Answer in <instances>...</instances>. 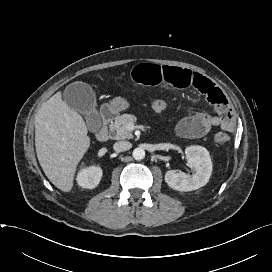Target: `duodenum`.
I'll return each instance as SVG.
<instances>
[{"instance_id": "duodenum-1", "label": "duodenum", "mask_w": 272, "mask_h": 272, "mask_svg": "<svg viewBox=\"0 0 272 272\" xmlns=\"http://www.w3.org/2000/svg\"><path fill=\"white\" fill-rule=\"evenodd\" d=\"M115 111L106 107L102 110L100 119H99V127L95 133L96 138L99 141H106L109 138L108 124L114 119Z\"/></svg>"}]
</instances>
